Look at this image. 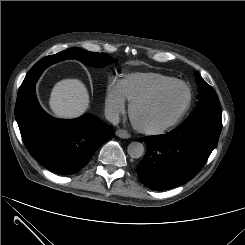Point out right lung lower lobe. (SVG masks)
<instances>
[{
  "label": "right lung lower lobe",
  "instance_id": "right-lung-lower-lobe-1",
  "mask_svg": "<svg viewBox=\"0 0 245 245\" xmlns=\"http://www.w3.org/2000/svg\"><path fill=\"white\" fill-rule=\"evenodd\" d=\"M15 117L34 159L62 175L78 172L114 132L113 127L90 114L73 120L51 117L40 107L35 86L17 97Z\"/></svg>",
  "mask_w": 245,
  "mask_h": 245
}]
</instances>
